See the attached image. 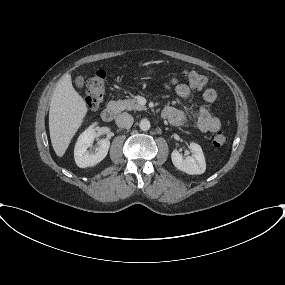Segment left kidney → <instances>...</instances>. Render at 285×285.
Listing matches in <instances>:
<instances>
[{
    "instance_id": "1",
    "label": "left kidney",
    "mask_w": 285,
    "mask_h": 285,
    "mask_svg": "<svg viewBox=\"0 0 285 285\" xmlns=\"http://www.w3.org/2000/svg\"><path fill=\"white\" fill-rule=\"evenodd\" d=\"M189 148L192 151V156L183 158L181 154L174 150L171 154L173 165L180 171L189 175H200L206 170L205 157L202 148L199 144L191 142Z\"/></svg>"
}]
</instances>
